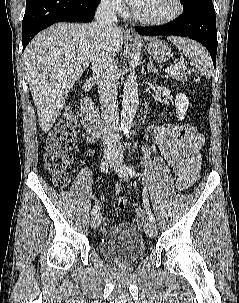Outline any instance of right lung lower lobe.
<instances>
[{
	"label": "right lung lower lobe",
	"mask_w": 239,
	"mask_h": 303,
	"mask_svg": "<svg viewBox=\"0 0 239 303\" xmlns=\"http://www.w3.org/2000/svg\"><path fill=\"white\" fill-rule=\"evenodd\" d=\"M99 3L100 0H26L23 50L38 32L54 23L92 21Z\"/></svg>",
	"instance_id": "obj_1"
}]
</instances>
